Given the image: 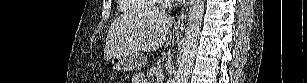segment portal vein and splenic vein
Listing matches in <instances>:
<instances>
[{
  "instance_id": "1",
  "label": "portal vein and splenic vein",
  "mask_w": 307,
  "mask_h": 83,
  "mask_svg": "<svg viewBox=\"0 0 307 83\" xmlns=\"http://www.w3.org/2000/svg\"><path fill=\"white\" fill-rule=\"evenodd\" d=\"M159 79L160 78H163V74H158V76H157Z\"/></svg>"
}]
</instances>
